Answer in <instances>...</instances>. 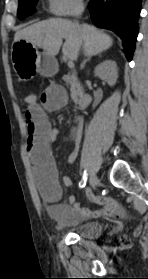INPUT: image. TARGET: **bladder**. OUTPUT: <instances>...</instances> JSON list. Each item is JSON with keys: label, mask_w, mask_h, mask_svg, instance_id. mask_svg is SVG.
<instances>
[{"label": "bladder", "mask_w": 148, "mask_h": 279, "mask_svg": "<svg viewBox=\"0 0 148 279\" xmlns=\"http://www.w3.org/2000/svg\"><path fill=\"white\" fill-rule=\"evenodd\" d=\"M62 228L85 239H97L104 232V227L100 222H82L73 226H63Z\"/></svg>", "instance_id": "31cf9c89"}]
</instances>
